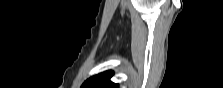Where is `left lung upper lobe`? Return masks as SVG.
<instances>
[{"instance_id":"1","label":"left lung upper lobe","mask_w":223,"mask_h":88,"mask_svg":"<svg viewBox=\"0 0 223 88\" xmlns=\"http://www.w3.org/2000/svg\"><path fill=\"white\" fill-rule=\"evenodd\" d=\"M112 71H106L86 80L82 88H118V84L110 81Z\"/></svg>"}]
</instances>
